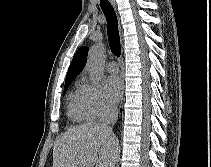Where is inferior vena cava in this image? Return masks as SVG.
I'll return each instance as SVG.
<instances>
[{
    "mask_svg": "<svg viewBox=\"0 0 211 167\" xmlns=\"http://www.w3.org/2000/svg\"><path fill=\"white\" fill-rule=\"evenodd\" d=\"M117 119H118V108L114 105H108L107 110H106V118L103 123V126L111 134H113L111 125H114L116 123Z\"/></svg>",
    "mask_w": 211,
    "mask_h": 167,
    "instance_id": "1",
    "label": "inferior vena cava"
}]
</instances>
